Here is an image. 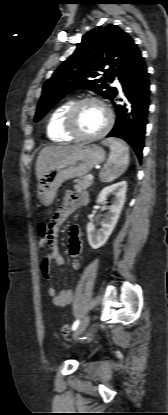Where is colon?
Here are the masks:
<instances>
[{
    "instance_id": "colon-1",
    "label": "colon",
    "mask_w": 168,
    "mask_h": 415,
    "mask_svg": "<svg viewBox=\"0 0 168 415\" xmlns=\"http://www.w3.org/2000/svg\"><path fill=\"white\" fill-rule=\"evenodd\" d=\"M39 243L41 246L47 243L48 239V228L46 223H40L38 226ZM62 333L66 336L70 334V328L67 324L62 326Z\"/></svg>"
}]
</instances>
